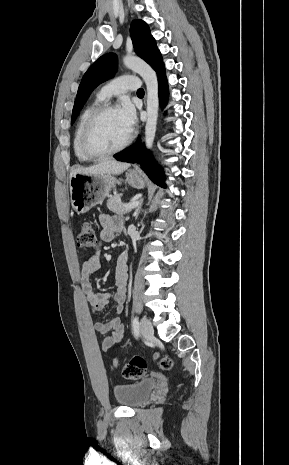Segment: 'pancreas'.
Listing matches in <instances>:
<instances>
[{
	"mask_svg": "<svg viewBox=\"0 0 289 465\" xmlns=\"http://www.w3.org/2000/svg\"><path fill=\"white\" fill-rule=\"evenodd\" d=\"M107 207L110 211L117 214H126L130 212V208H126L125 204L121 202V194L110 196L107 201Z\"/></svg>",
	"mask_w": 289,
	"mask_h": 465,
	"instance_id": "1",
	"label": "pancreas"
}]
</instances>
